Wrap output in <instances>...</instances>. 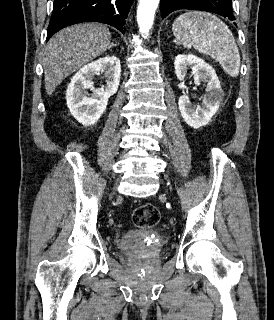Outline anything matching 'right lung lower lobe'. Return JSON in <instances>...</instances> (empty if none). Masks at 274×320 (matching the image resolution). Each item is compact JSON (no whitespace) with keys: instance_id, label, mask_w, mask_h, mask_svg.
Masks as SVG:
<instances>
[{"instance_id":"98d812e1","label":"right lung lower lobe","mask_w":274,"mask_h":320,"mask_svg":"<svg viewBox=\"0 0 274 320\" xmlns=\"http://www.w3.org/2000/svg\"><path fill=\"white\" fill-rule=\"evenodd\" d=\"M133 0H54L47 41L64 27L82 22L109 24L124 34L123 25Z\"/></svg>"}]
</instances>
